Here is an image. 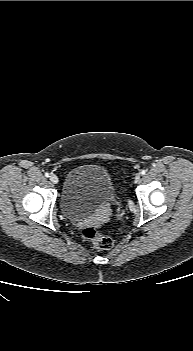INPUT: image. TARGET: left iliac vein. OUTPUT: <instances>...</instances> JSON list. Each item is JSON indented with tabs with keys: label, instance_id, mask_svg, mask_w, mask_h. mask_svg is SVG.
Here are the masks:
<instances>
[{
	"label": "left iliac vein",
	"instance_id": "4c4485c4",
	"mask_svg": "<svg viewBox=\"0 0 193 351\" xmlns=\"http://www.w3.org/2000/svg\"><path fill=\"white\" fill-rule=\"evenodd\" d=\"M140 180V175L135 176V182H138Z\"/></svg>",
	"mask_w": 193,
	"mask_h": 351
}]
</instances>
